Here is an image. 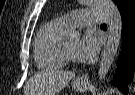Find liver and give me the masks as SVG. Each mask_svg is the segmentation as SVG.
Masks as SVG:
<instances>
[{
  "label": "liver",
  "instance_id": "liver-1",
  "mask_svg": "<svg viewBox=\"0 0 135 95\" xmlns=\"http://www.w3.org/2000/svg\"><path fill=\"white\" fill-rule=\"evenodd\" d=\"M74 77L73 72L46 70L36 73L24 87L25 95H55Z\"/></svg>",
  "mask_w": 135,
  "mask_h": 95
}]
</instances>
